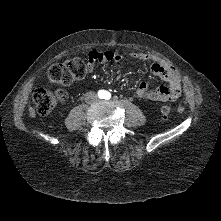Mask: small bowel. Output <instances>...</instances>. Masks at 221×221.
<instances>
[{"instance_id":"obj_1","label":"small bowel","mask_w":221,"mask_h":221,"mask_svg":"<svg viewBox=\"0 0 221 221\" xmlns=\"http://www.w3.org/2000/svg\"><path fill=\"white\" fill-rule=\"evenodd\" d=\"M130 57L138 61L150 62L151 72L167 83L166 86L150 89L146 82H141L136 89L139 98L151 101H173L181 95V78L171 64L149 53L132 52ZM123 59L122 54L112 50H92L88 54L87 64L89 71H92L96 63L119 62Z\"/></svg>"}]
</instances>
